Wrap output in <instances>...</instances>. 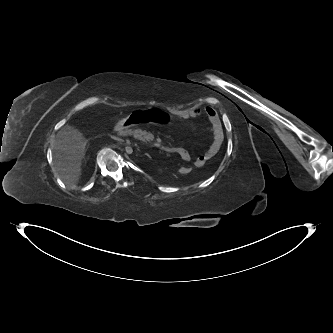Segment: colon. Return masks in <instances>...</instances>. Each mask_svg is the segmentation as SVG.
<instances>
[{
	"instance_id": "1",
	"label": "colon",
	"mask_w": 333,
	"mask_h": 333,
	"mask_svg": "<svg viewBox=\"0 0 333 333\" xmlns=\"http://www.w3.org/2000/svg\"><path fill=\"white\" fill-rule=\"evenodd\" d=\"M176 121V116L174 113L165 111V110H147L144 113L141 111H136L133 114H128L124 118V122L122 125H126L128 127H133L136 124H141L143 122L147 123H163L167 125H172ZM121 127V124H117V126H113V129H118ZM178 171L183 174H191L194 171V168L191 165H180L178 166Z\"/></svg>"
}]
</instances>
